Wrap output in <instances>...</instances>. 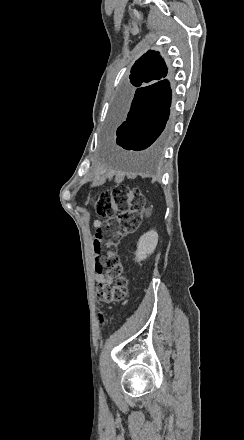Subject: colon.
<instances>
[{"label":"colon","instance_id":"colon-1","mask_svg":"<svg viewBox=\"0 0 244 440\" xmlns=\"http://www.w3.org/2000/svg\"><path fill=\"white\" fill-rule=\"evenodd\" d=\"M144 199L138 189L125 194L114 188L99 193L97 212L105 222L97 227L93 240L95 268L114 281L113 285H99L96 299L99 302L122 303L127 297L128 279L117 252L121 238L134 233L141 225ZM99 323H104L100 309L97 314Z\"/></svg>","mask_w":244,"mask_h":440}]
</instances>
